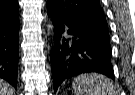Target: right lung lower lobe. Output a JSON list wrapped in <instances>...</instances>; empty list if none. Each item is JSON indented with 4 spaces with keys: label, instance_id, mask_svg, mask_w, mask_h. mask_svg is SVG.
I'll return each instance as SVG.
<instances>
[{
    "label": "right lung lower lobe",
    "instance_id": "98d812e1",
    "mask_svg": "<svg viewBox=\"0 0 135 95\" xmlns=\"http://www.w3.org/2000/svg\"><path fill=\"white\" fill-rule=\"evenodd\" d=\"M19 16L0 19V78L17 88Z\"/></svg>",
    "mask_w": 135,
    "mask_h": 95
}]
</instances>
